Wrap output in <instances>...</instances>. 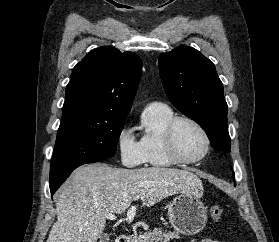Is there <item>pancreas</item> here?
I'll return each mask as SVG.
<instances>
[{
    "label": "pancreas",
    "instance_id": "obj_1",
    "mask_svg": "<svg viewBox=\"0 0 279 242\" xmlns=\"http://www.w3.org/2000/svg\"><path fill=\"white\" fill-rule=\"evenodd\" d=\"M176 232L164 231L161 228H155L152 231L145 232L135 238V242H169L172 239H179Z\"/></svg>",
    "mask_w": 279,
    "mask_h": 242
}]
</instances>
